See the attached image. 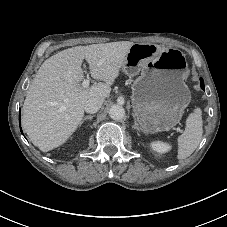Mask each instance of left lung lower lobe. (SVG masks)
<instances>
[{"label":"left lung lower lobe","mask_w":227,"mask_h":227,"mask_svg":"<svg viewBox=\"0 0 227 227\" xmlns=\"http://www.w3.org/2000/svg\"><path fill=\"white\" fill-rule=\"evenodd\" d=\"M201 88L204 89V83L201 81Z\"/></svg>","instance_id":"left-lung-lower-lobe-1"}]
</instances>
